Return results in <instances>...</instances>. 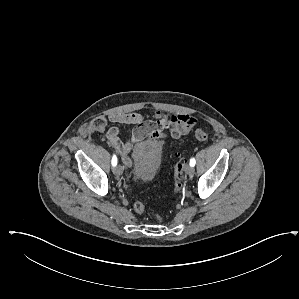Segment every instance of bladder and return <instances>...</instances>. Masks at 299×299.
I'll return each instance as SVG.
<instances>
[{"instance_id":"obj_1","label":"bladder","mask_w":299,"mask_h":299,"mask_svg":"<svg viewBox=\"0 0 299 299\" xmlns=\"http://www.w3.org/2000/svg\"><path fill=\"white\" fill-rule=\"evenodd\" d=\"M161 163V152L147 142L133 152L132 176L138 182L151 181L157 174Z\"/></svg>"}]
</instances>
